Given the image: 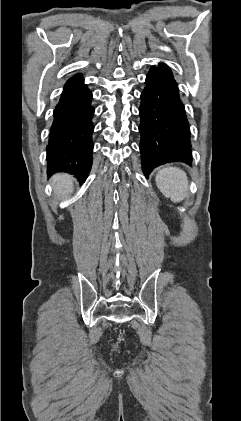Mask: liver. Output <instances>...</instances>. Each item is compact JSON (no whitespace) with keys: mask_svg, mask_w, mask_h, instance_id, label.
<instances>
[{"mask_svg":"<svg viewBox=\"0 0 241 421\" xmlns=\"http://www.w3.org/2000/svg\"><path fill=\"white\" fill-rule=\"evenodd\" d=\"M74 179L67 174L58 173L51 178L54 194L59 200H66L73 192Z\"/></svg>","mask_w":241,"mask_h":421,"instance_id":"1","label":"liver"}]
</instances>
